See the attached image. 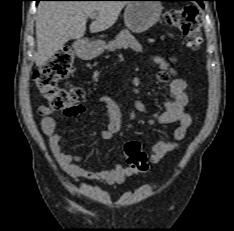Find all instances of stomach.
Listing matches in <instances>:
<instances>
[{
    "label": "stomach",
    "instance_id": "stomach-1",
    "mask_svg": "<svg viewBox=\"0 0 234 231\" xmlns=\"http://www.w3.org/2000/svg\"><path fill=\"white\" fill-rule=\"evenodd\" d=\"M162 10L161 2L133 0L127 3L124 11L125 25L134 33H143L156 24L160 19ZM105 48V42L97 40L79 45L76 52L81 58L91 60L101 55Z\"/></svg>",
    "mask_w": 234,
    "mask_h": 231
}]
</instances>
